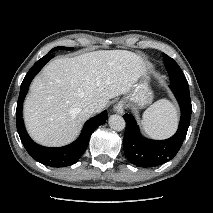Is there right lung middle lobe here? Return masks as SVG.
<instances>
[{
    "label": "right lung middle lobe",
    "mask_w": 213,
    "mask_h": 213,
    "mask_svg": "<svg viewBox=\"0 0 213 213\" xmlns=\"http://www.w3.org/2000/svg\"><path fill=\"white\" fill-rule=\"evenodd\" d=\"M71 50V49H73V48H69V47H55V48H53L52 50H51V52H54V51H56V50Z\"/></svg>",
    "instance_id": "obj_1"
}]
</instances>
